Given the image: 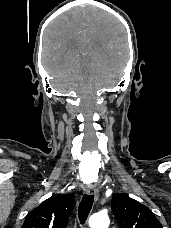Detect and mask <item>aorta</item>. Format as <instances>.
<instances>
[{
    "mask_svg": "<svg viewBox=\"0 0 171 228\" xmlns=\"http://www.w3.org/2000/svg\"><path fill=\"white\" fill-rule=\"evenodd\" d=\"M110 224L109 218L106 214L97 213L90 217V228H108Z\"/></svg>",
    "mask_w": 171,
    "mask_h": 228,
    "instance_id": "1",
    "label": "aorta"
}]
</instances>
